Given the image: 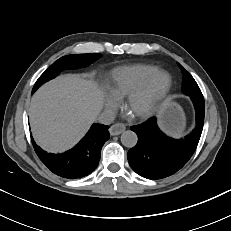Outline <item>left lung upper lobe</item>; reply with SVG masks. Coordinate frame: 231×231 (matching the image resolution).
Instances as JSON below:
<instances>
[{
  "instance_id": "5c2ea615",
  "label": "left lung upper lobe",
  "mask_w": 231,
  "mask_h": 231,
  "mask_svg": "<svg viewBox=\"0 0 231 231\" xmlns=\"http://www.w3.org/2000/svg\"><path fill=\"white\" fill-rule=\"evenodd\" d=\"M180 67L184 71V83H183L184 93H186L188 96L191 97L193 103L199 102L200 104L204 105V98L196 81L188 71H186L181 65Z\"/></svg>"
}]
</instances>
